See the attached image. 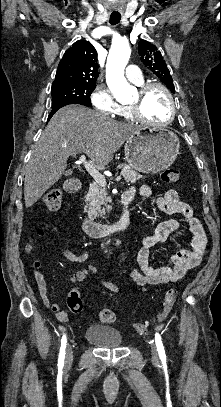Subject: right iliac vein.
Returning a JSON list of instances; mask_svg holds the SVG:
<instances>
[{"mask_svg": "<svg viewBox=\"0 0 221 407\" xmlns=\"http://www.w3.org/2000/svg\"><path fill=\"white\" fill-rule=\"evenodd\" d=\"M73 361V351L72 347L70 345L67 346L66 348V353H65V363L67 365L71 364Z\"/></svg>", "mask_w": 221, "mask_h": 407, "instance_id": "63e3f726", "label": "right iliac vein"}]
</instances>
